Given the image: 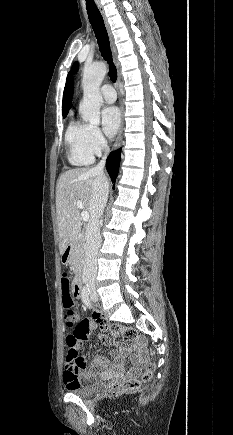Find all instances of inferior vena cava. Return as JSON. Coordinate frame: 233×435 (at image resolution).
I'll list each match as a JSON object with an SVG mask.
<instances>
[{
	"label": "inferior vena cava",
	"mask_w": 233,
	"mask_h": 435,
	"mask_svg": "<svg viewBox=\"0 0 233 435\" xmlns=\"http://www.w3.org/2000/svg\"><path fill=\"white\" fill-rule=\"evenodd\" d=\"M102 147L108 152L109 147L106 142L102 144ZM105 159L106 157L104 156L97 166L92 168L96 178L89 202L90 220L85 233L86 259L83 268V282L90 286L94 285L96 280L97 255L101 244L100 218L103 215L109 193V184L103 171Z\"/></svg>",
	"instance_id": "inferior-vena-cava-1"
}]
</instances>
